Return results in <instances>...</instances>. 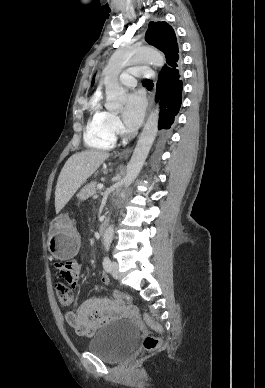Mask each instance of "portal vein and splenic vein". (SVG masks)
<instances>
[{
    "mask_svg": "<svg viewBox=\"0 0 265 388\" xmlns=\"http://www.w3.org/2000/svg\"><path fill=\"white\" fill-rule=\"evenodd\" d=\"M97 188H98V190H102L103 184H98Z\"/></svg>",
    "mask_w": 265,
    "mask_h": 388,
    "instance_id": "18ae733b",
    "label": "portal vein and splenic vein"
}]
</instances>
